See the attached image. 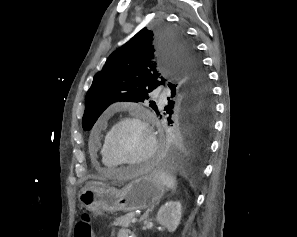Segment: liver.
<instances>
[{
	"mask_svg": "<svg viewBox=\"0 0 297 237\" xmlns=\"http://www.w3.org/2000/svg\"><path fill=\"white\" fill-rule=\"evenodd\" d=\"M90 185H104L103 183H101V182H90L89 183Z\"/></svg>",
	"mask_w": 297,
	"mask_h": 237,
	"instance_id": "liver-1",
	"label": "liver"
}]
</instances>
